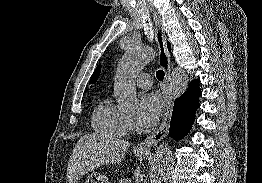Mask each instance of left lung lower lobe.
I'll list each match as a JSON object with an SVG mask.
<instances>
[{
    "label": "left lung lower lobe",
    "mask_w": 262,
    "mask_h": 183,
    "mask_svg": "<svg viewBox=\"0 0 262 183\" xmlns=\"http://www.w3.org/2000/svg\"><path fill=\"white\" fill-rule=\"evenodd\" d=\"M199 80L190 83L187 91L174 102L169 135L175 140L182 139L191 129L201 96Z\"/></svg>",
    "instance_id": "0a47b994"
}]
</instances>
